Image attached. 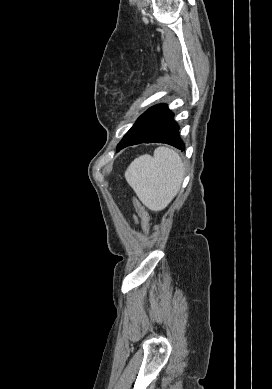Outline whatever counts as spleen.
Returning <instances> with one entry per match:
<instances>
[{
    "label": "spleen",
    "instance_id": "spleen-1",
    "mask_svg": "<svg viewBox=\"0 0 272 389\" xmlns=\"http://www.w3.org/2000/svg\"><path fill=\"white\" fill-rule=\"evenodd\" d=\"M184 175L179 155L167 147H158L153 157L136 158L125 171L127 183L141 202L153 211L168 206L178 193Z\"/></svg>",
    "mask_w": 272,
    "mask_h": 389
}]
</instances>
